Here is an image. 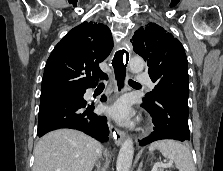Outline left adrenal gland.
Masks as SVG:
<instances>
[{
    "mask_svg": "<svg viewBox=\"0 0 223 171\" xmlns=\"http://www.w3.org/2000/svg\"><path fill=\"white\" fill-rule=\"evenodd\" d=\"M142 165H143V162H140V164H139V167H138V170H137V171H143V170H142Z\"/></svg>",
    "mask_w": 223,
    "mask_h": 171,
    "instance_id": "1",
    "label": "left adrenal gland"
}]
</instances>
